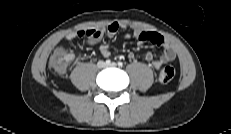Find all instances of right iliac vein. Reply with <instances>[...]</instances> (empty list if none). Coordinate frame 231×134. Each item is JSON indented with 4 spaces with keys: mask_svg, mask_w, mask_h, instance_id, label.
Listing matches in <instances>:
<instances>
[{
    "mask_svg": "<svg viewBox=\"0 0 231 134\" xmlns=\"http://www.w3.org/2000/svg\"><path fill=\"white\" fill-rule=\"evenodd\" d=\"M97 66H98V68H104L106 65H105V63L103 61H99L97 63Z\"/></svg>",
    "mask_w": 231,
    "mask_h": 134,
    "instance_id": "obj_1",
    "label": "right iliac vein"
}]
</instances>
